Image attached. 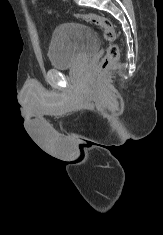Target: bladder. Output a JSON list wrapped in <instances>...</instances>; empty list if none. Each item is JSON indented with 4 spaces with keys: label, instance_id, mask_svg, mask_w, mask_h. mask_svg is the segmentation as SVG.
<instances>
[{
    "label": "bladder",
    "instance_id": "31cf9c89",
    "mask_svg": "<svg viewBox=\"0 0 163 235\" xmlns=\"http://www.w3.org/2000/svg\"><path fill=\"white\" fill-rule=\"evenodd\" d=\"M99 49L94 30L81 23L57 26L51 36L48 57L54 69L74 67L79 61Z\"/></svg>",
    "mask_w": 163,
    "mask_h": 235
}]
</instances>
